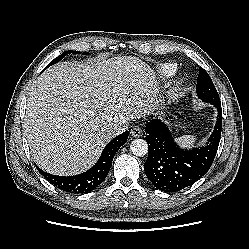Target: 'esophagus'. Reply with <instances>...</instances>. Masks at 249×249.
<instances>
[{
  "mask_svg": "<svg viewBox=\"0 0 249 249\" xmlns=\"http://www.w3.org/2000/svg\"><path fill=\"white\" fill-rule=\"evenodd\" d=\"M141 134H142V131H141V129H140L139 127H134V128H132V130H131V135H132L133 137H140Z\"/></svg>",
  "mask_w": 249,
  "mask_h": 249,
  "instance_id": "obj_1",
  "label": "esophagus"
}]
</instances>
